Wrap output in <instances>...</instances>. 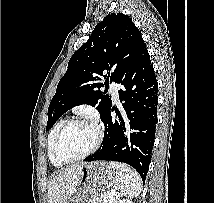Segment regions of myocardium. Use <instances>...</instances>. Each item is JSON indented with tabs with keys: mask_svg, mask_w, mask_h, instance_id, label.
Returning a JSON list of instances; mask_svg holds the SVG:
<instances>
[{
	"mask_svg": "<svg viewBox=\"0 0 214 203\" xmlns=\"http://www.w3.org/2000/svg\"><path fill=\"white\" fill-rule=\"evenodd\" d=\"M85 122H89V123L93 124L96 129L97 136H96L94 144L87 152H85L84 154H82L76 158H73V159L61 158L59 155V151H58V146H59L61 136L72 125L78 124V123H85ZM103 136H104L103 128H102L101 124L99 122H97L96 120H92V119H88V118H73V119L67 120V122H65V124L62 125V127L58 130V132L55 135L54 142H53V155H54L55 159L61 164H70V163H74L77 161H81V160L89 157L90 155H92L99 148V146L102 143Z\"/></svg>",
	"mask_w": 214,
	"mask_h": 203,
	"instance_id": "f54148a6",
	"label": "myocardium"
}]
</instances>
